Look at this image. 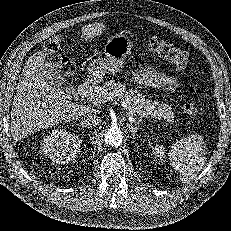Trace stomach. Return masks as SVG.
<instances>
[{
  "label": "stomach",
  "instance_id": "0dacf381",
  "mask_svg": "<svg viewBox=\"0 0 231 231\" xmlns=\"http://www.w3.org/2000/svg\"><path fill=\"white\" fill-rule=\"evenodd\" d=\"M132 47L133 42L126 35L110 37L103 47L105 57L92 60L88 66L90 80L100 82L106 74L115 75L120 72Z\"/></svg>",
  "mask_w": 231,
  "mask_h": 231
}]
</instances>
